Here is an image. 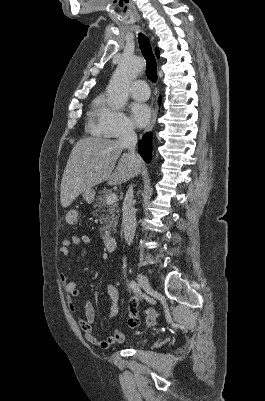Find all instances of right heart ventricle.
Here are the masks:
<instances>
[{"label":"right heart ventricle","instance_id":"1","mask_svg":"<svg viewBox=\"0 0 265 401\" xmlns=\"http://www.w3.org/2000/svg\"><path fill=\"white\" fill-rule=\"evenodd\" d=\"M102 103H103L102 96L95 97L92 100L91 104H90V108H89L88 114L91 115V116H94L96 118V116L99 114V111L101 109ZM95 134L98 137H106L105 134H103L97 127H95ZM104 142L110 143L111 141L110 140H104Z\"/></svg>","mask_w":265,"mask_h":401}]
</instances>
